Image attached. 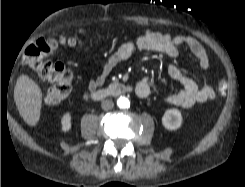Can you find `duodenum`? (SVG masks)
Segmentation results:
<instances>
[{"label": "duodenum", "instance_id": "1", "mask_svg": "<svg viewBox=\"0 0 245 187\" xmlns=\"http://www.w3.org/2000/svg\"><path fill=\"white\" fill-rule=\"evenodd\" d=\"M135 89L132 85H127L122 82H115L107 87L96 89L89 95L94 100H101L110 96H119Z\"/></svg>", "mask_w": 245, "mask_h": 187}]
</instances>
